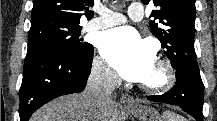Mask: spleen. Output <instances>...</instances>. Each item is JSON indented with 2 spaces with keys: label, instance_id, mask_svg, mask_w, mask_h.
<instances>
[{
  "label": "spleen",
  "instance_id": "spleen-1",
  "mask_svg": "<svg viewBox=\"0 0 217 121\" xmlns=\"http://www.w3.org/2000/svg\"><path fill=\"white\" fill-rule=\"evenodd\" d=\"M164 120L165 121H186V119H184L183 117L175 113H171V112L164 113Z\"/></svg>",
  "mask_w": 217,
  "mask_h": 121
}]
</instances>
